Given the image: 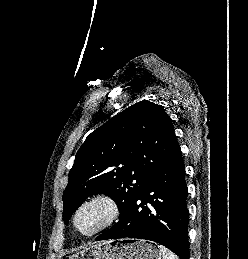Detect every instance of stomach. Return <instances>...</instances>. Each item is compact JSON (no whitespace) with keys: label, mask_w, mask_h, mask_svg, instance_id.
<instances>
[{"label":"stomach","mask_w":248,"mask_h":259,"mask_svg":"<svg viewBox=\"0 0 248 259\" xmlns=\"http://www.w3.org/2000/svg\"><path fill=\"white\" fill-rule=\"evenodd\" d=\"M69 259H163V256L154 242L120 239L92 245Z\"/></svg>","instance_id":"obj_1"}]
</instances>
